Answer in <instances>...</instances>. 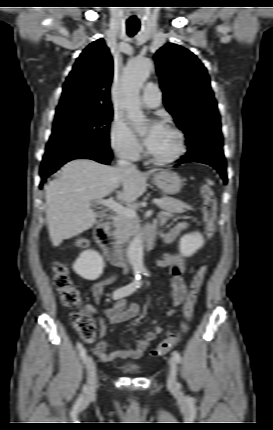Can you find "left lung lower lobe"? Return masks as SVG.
<instances>
[{"label":"left lung lower lobe","instance_id":"obj_1","mask_svg":"<svg viewBox=\"0 0 273 430\" xmlns=\"http://www.w3.org/2000/svg\"><path fill=\"white\" fill-rule=\"evenodd\" d=\"M188 152L177 162H200L214 167L227 183L226 164L222 151V135L217 131L201 130L195 140H187ZM179 165V164H177Z\"/></svg>","mask_w":273,"mask_h":430}]
</instances>
